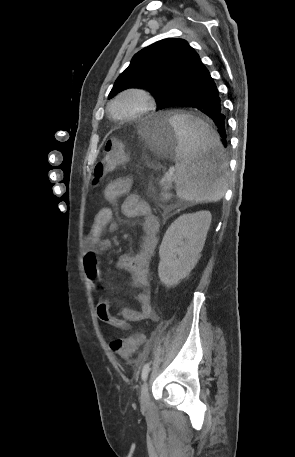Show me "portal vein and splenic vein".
Masks as SVG:
<instances>
[{"label":"portal vein and splenic vein","mask_w":295,"mask_h":457,"mask_svg":"<svg viewBox=\"0 0 295 457\" xmlns=\"http://www.w3.org/2000/svg\"><path fill=\"white\" fill-rule=\"evenodd\" d=\"M174 168H170L163 176L161 182L164 183V182H170L173 180V176H174Z\"/></svg>","instance_id":"obj_1"}]
</instances>
